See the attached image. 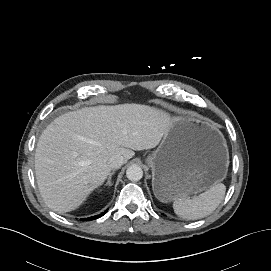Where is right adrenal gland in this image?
Masks as SVG:
<instances>
[{
  "label": "right adrenal gland",
  "instance_id": "right-adrenal-gland-1",
  "mask_svg": "<svg viewBox=\"0 0 271 271\" xmlns=\"http://www.w3.org/2000/svg\"><path fill=\"white\" fill-rule=\"evenodd\" d=\"M115 173V171H112L110 174H109V177H108V180L106 182V186H111L112 185V182H111V177L112 175Z\"/></svg>",
  "mask_w": 271,
  "mask_h": 271
}]
</instances>
